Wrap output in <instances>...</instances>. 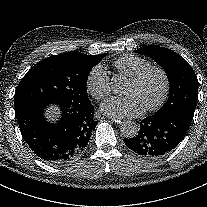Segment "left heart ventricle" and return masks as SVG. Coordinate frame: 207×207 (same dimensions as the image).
Returning <instances> with one entry per match:
<instances>
[{
  "instance_id": "1",
  "label": "left heart ventricle",
  "mask_w": 207,
  "mask_h": 207,
  "mask_svg": "<svg viewBox=\"0 0 207 207\" xmlns=\"http://www.w3.org/2000/svg\"><path fill=\"white\" fill-rule=\"evenodd\" d=\"M163 91V79L157 72L150 73L140 84L127 83L124 94L134 96L143 109L155 104Z\"/></svg>"
}]
</instances>
